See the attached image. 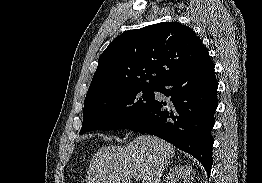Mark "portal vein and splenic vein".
Segmentation results:
<instances>
[{"label": "portal vein and splenic vein", "instance_id": "obj_1", "mask_svg": "<svg viewBox=\"0 0 262 183\" xmlns=\"http://www.w3.org/2000/svg\"><path fill=\"white\" fill-rule=\"evenodd\" d=\"M131 177H133L135 180H139V179H140V176H139V175H133V176H131Z\"/></svg>", "mask_w": 262, "mask_h": 183}]
</instances>
